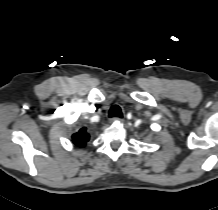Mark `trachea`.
I'll return each instance as SVG.
<instances>
[{"label":"trachea","instance_id":"1","mask_svg":"<svg viewBox=\"0 0 218 210\" xmlns=\"http://www.w3.org/2000/svg\"><path fill=\"white\" fill-rule=\"evenodd\" d=\"M109 117H122V111L121 108L118 105H114L111 107L109 111Z\"/></svg>","mask_w":218,"mask_h":210}]
</instances>
